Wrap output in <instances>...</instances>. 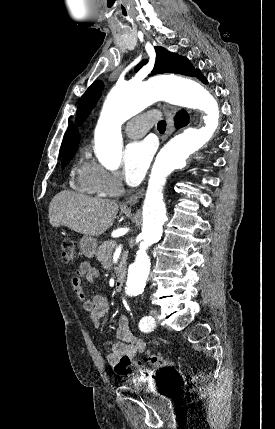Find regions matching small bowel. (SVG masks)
Instances as JSON below:
<instances>
[{"mask_svg": "<svg viewBox=\"0 0 275 429\" xmlns=\"http://www.w3.org/2000/svg\"><path fill=\"white\" fill-rule=\"evenodd\" d=\"M98 276L99 273L95 268L88 262H83L71 279L78 302L88 313L90 320L96 327L102 324L109 310V301L100 294L89 299L82 280L85 278L91 282ZM116 336L118 340L111 343L110 353L107 356L109 364L114 366L116 370L123 360L129 362L131 366L139 364L140 362L136 360V356L146 351L147 344L144 340L133 335L129 327L128 318L125 315L119 319Z\"/></svg>", "mask_w": 275, "mask_h": 429, "instance_id": "c3829d8e", "label": "small bowel"}]
</instances>
